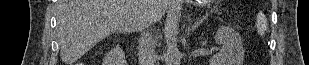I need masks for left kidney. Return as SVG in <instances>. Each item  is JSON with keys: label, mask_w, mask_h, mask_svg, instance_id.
<instances>
[{"label": "left kidney", "mask_w": 309, "mask_h": 65, "mask_svg": "<svg viewBox=\"0 0 309 65\" xmlns=\"http://www.w3.org/2000/svg\"><path fill=\"white\" fill-rule=\"evenodd\" d=\"M215 42L222 45V48L213 55L210 65H243L245 51L242 38L237 31L220 26L215 35Z\"/></svg>", "instance_id": "1"}]
</instances>
